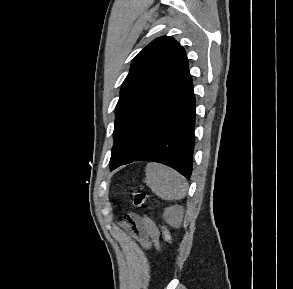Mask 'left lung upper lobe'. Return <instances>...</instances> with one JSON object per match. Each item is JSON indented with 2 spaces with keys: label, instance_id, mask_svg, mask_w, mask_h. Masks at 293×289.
<instances>
[{
  "label": "left lung upper lobe",
  "instance_id": "left-lung-upper-lobe-1",
  "mask_svg": "<svg viewBox=\"0 0 293 289\" xmlns=\"http://www.w3.org/2000/svg\"><path fill=\"white\" fill-rule=\"evenodd\" d=\"M188 70L184 48L168 36L153 40L132 60L115 108L114 146L109 163L111 170L129 158L118 147V142L131 124Z\"/></svg>",
  "mask_w": 293,
  "mask_h": 289
}]
</instances>
